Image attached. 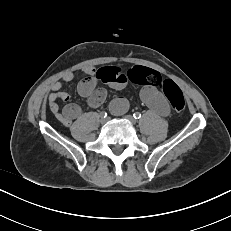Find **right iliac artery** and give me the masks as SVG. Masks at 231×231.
I'll return each instance as SVG.
<instances>
[{
    "mask_svg": "<svg viewBox=\"0 0 231 231\" xmlns=\"http://www.w3.org/2000/svg\"><path fill=\"white\" fill-rule=\"evenodd\" d=\"M100 116H101L102 118H105V117H107V113L103 111V112L100 113Z\"/></svg>",
    "mask_w": 231,
    "mask_h": 231,
    "instance_id": "right-iliac-artery-1",
    "label": "right iliac artery"
}]
</instances>
